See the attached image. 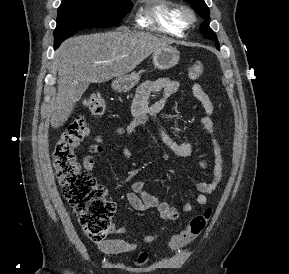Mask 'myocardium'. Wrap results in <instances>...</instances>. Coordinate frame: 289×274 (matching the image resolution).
I'll return each instance as SVG.
<instances>
[{
  "label": "myocardium",
  "instance_id": "obj_1",
  "mask_svg": "<svg viewBox=\"0 0 289 274\" xmlns=\"http://www.w3.org/2000/svg\"><path fill=\"white\" fill-rule=\"evenodd\" d=\"M178 19L187 28L196 22V14L190 7L182 6L178 10Z\"/></svg>",
  "mask_w": 289,
  "mask_h": 274
}]
</instances>
